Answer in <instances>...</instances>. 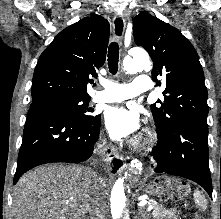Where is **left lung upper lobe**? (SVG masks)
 Instances as JSON below:
<instances>
[{
	"instance_id": "1",
	"label": "left lung upper lobe",
	"mask_w": 221,
	"mask_h": 219,
	"mask_svg": "<svg viewBox=\"0 0 221 219\" xmlns=\"http://www.w3.org/2000/svg\"><path fill=\"white\" fill-rule=\"evenodd\" d=\"M133 36L137 46L148 51L153 60L152 78L166 88L164 101L151 105L158 134L182 121L207 125V88L199 57L193 45L173 26L141 12L133 19Z\"/></svg>"
}]
</instances>
